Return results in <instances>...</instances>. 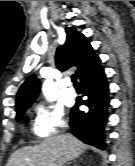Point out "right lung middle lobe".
Wrapping results in <instances>:
<instances>
[{
	"mask_svg": "<svg viewBox=\"0 0 135 166\" xmlns=\"http://www.w3.org/2000/svg\"><path fill=\"white\" fill-rule=\"evenodd\" d=\"M29 107L30 106H24V107H21V108L17 109L16 110V112H17L16 118L17 119L21 118Z\"/></svg>",
	"mask_w": 135,
	"mask_h": 166,
	"instance_id": "obj_1",
	"label": "right lung middle lobe"
}]
</instances>
